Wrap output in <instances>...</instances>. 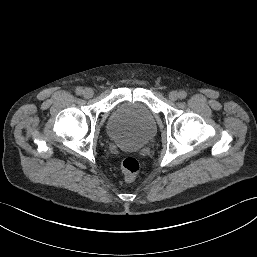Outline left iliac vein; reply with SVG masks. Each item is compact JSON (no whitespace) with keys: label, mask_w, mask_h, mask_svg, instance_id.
<instances>
[{"label":"left iliac vein","mask_w":257,"mask_h":257,"mask_svg":"<svg viewBox=\"0 0 257 257\" xmlns=\"http://www.w3.org/2000/svg\"><path fill=\"white\" fill-rule=\"evenodd\" d=\"M178 97H179V94H178L177 91H171V92L169 93V99H170L171 101H176V100L178 99Z\"/></svg>","instance_id":"obj_1"}]
</instances>
